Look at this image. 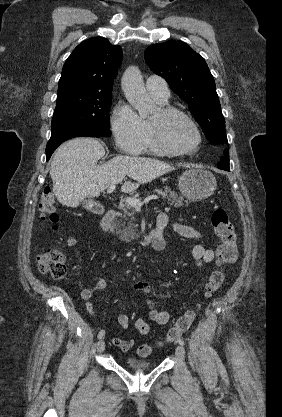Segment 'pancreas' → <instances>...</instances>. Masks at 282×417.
Masks as SVG:
<instances>
[{
  "label": "pancreas",
  "mask_w": 282,
  "mask_h": 417,
  "mask_svg": "<svg viewBox=\"0 0 282 417\" xmlns=\"http://www.w3.org/2000/svg\"><path fill=\"white\" fill-rule=\"evenodd\" d=\"M154 192H159L162 198H167L168 204H173V206H186L190 200H185L181 194L169 188V186H164V188H156ZM119 209L121 213H119L117 223V235H119V239L121 241H126V243H130L136 237H139L140 233H136L135 223L136 221L134 215L136 213L134 206L128 204V202H121L119 204Z\"/></svg>",
  "instance_id": "cf45deb5"
}]
</instances>
